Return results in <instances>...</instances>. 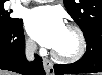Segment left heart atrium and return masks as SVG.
<instances>
[{
	"label": "left heart atrium",
	"mask_w": 102,
	"mask_h": 75,
	"mask_svg": "<svg viewBox=\"0 0 102 75\" xmlns=\"http://www.w3.org/2000/svg\"><path fill=\"white\" fill-rule=\"evenodd\" d=\"M26 28L31 37L41 46L54 48L65 29V25L56 9L40 7L29 13Z\"/></svg>",
	"instance_id": "left-heart-atrium-1"
}]
</instances>
